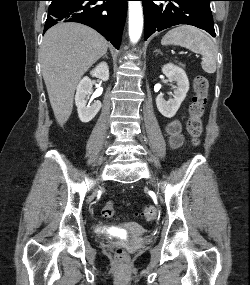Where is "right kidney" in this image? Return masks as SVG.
I'll use <instances>...</instances> for the list:
<instances>
[{"label":"right kidney","instance_id":"ca27d5eb","mask_svg":"<svg viewBox=\"0 0 250 285\" xmlns=\"http://www.w3.org/2000/svg\"><path fill=\"white\" fill-rule=\"evenodd\" d=\"M91 75L102 81L109 79V67L106 62H101L91 71ZM92 93V81L89 77L81 79L77 86L75 103L78 116L84 123L91 121L101 108L99 100L94 101L91 106H87V97Z\"/></svg>","mask_w":250,"mask_h":285}]
</instances>
